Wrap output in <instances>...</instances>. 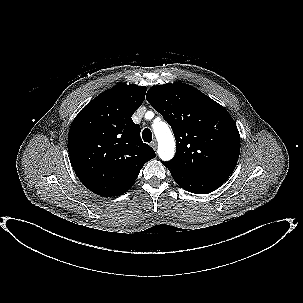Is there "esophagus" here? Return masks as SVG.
Here are the masks:
<instances>
[{"label": "esophagus", "mask_w": 303, "mask_h": 303, "mask_svg": "<svg viewBox=\"0 0 303 303\" xmlns=\"http://www.w3.org/2000/svg\"><path fill=\"white\" fill-rule=\"evenodd\" d=\"M151 147H152L154 150H156V148H157V141H156V140H153V141L151 142Z\"/></svg>", "instance_id": "esophagus-1"}]
</instances>
